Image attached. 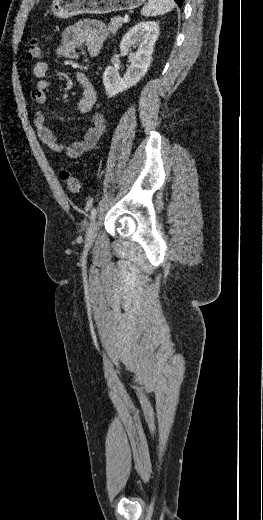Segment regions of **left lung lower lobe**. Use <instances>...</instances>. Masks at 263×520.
I'll return each mask as SVG.
<instances>
[{
  "label": "left lung lower lobe",
  "instance_id": "obj_1",
  "mask_svg": "<svg viewBox=\"0 0 263 520\" xmlns=\"http://www.w3.org/2000/svg\"><path fill=\"white\" fill-rule=\"evenodd\" d=\"M175 1H176V3L178 4L179 7L182 5V1L183 0H175Z\"/></svg>",
  "mask_w": 263,
  "mask_h": 520
}]
</instances>
